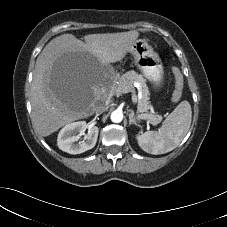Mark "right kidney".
<instances>
[{"label": "right kidney", "instance_id": "1", "mask_svg": "<svg viewBox=\"0 0 227 227\" xmlns=\"http://www.w3.org/2000/svg\"><path fill=\"white\" fill-rule=\"evenodd\" d=\"M87 127L88 126L85 121L67 124L60 130L58 134V147L62 151L70 154H80L92 149L95 146L98 138L99 129L97 126L89 128L84 140L77 142L79 135H84Z\"/></svg>", "mask_w": 227, "mask_h": 227}]
</instances>
